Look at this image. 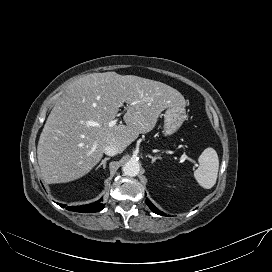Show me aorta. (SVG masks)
Here are the masks:
<instances>
[{"mask_svg":"<svg viewBox=\"0 0 272 272\" xmlns=\"http://www.w3.org/2000/svg\"><path fill=\"white\" fill-rule=\"evenodd\" d=\"M122 171L124 173V175L126 176H136L138 175L139 171H140V165L139 162L136 160H129L128 162H126L122 168Z\"/></svg>","mask_w":272,"mask_h":272,"instance_id":"1","label":"aorta"}]
</instances>
